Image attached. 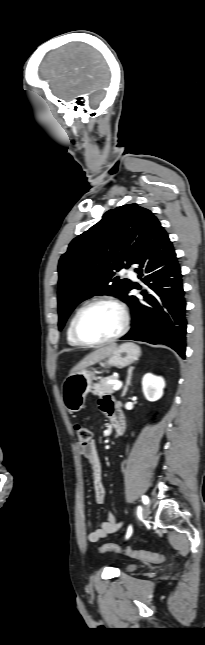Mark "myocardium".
Listing matches in <instances>:
<instances>
[{
	"mask_svg": "<svg viewBox=\"0 0 205 645\" xmlns=\"http://www.w3.org/2000/svg\"><path fill=\"white\" fill-rule=\"evenodd\" d=\"M97 304H109L114 306L121 315V326L115 334H113L112 336L106 339L98 340V341H88L80 335L78 330V322L84 310H86L90 306L97 305ZM129 323H130V316H129L128 310L121 301H119L118 299L112 296H100V297H95L88 300L77 309L72 319L71 330H72L73 337L80 345H83L86 347H98V346H102V345L111 343L113 341H116L117 339L122 337L127 332L129 328Z\"/></svg>",
	"mask_w": 205,
	"mask_h": 645,
	"instance_id": "f54148a6",
	"label": "myocardium"
}]
</instances>
